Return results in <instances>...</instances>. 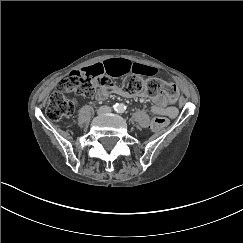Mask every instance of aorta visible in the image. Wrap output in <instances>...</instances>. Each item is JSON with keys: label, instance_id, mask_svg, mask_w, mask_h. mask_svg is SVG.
I'll use <instances>...</instances> for the list:
<instances>
[{"label": "aorta", "instance_id": "762f6f07", "mask_svg": "<svg viewBox=\"0 0 243 243\" xmlns=\"http://www.w3.org/2000/svg\"><path fill=\"white\" fill-rule=\"evenodd\" d=\"M120 106H123V109H120V108H119ZM124 109H125V105H124L123 103H121V104L118 105V109H117V110H118L119 112L124 111Z\"/></svg>", "mask_w": 243, "mask_h": 243}]
</instances>
